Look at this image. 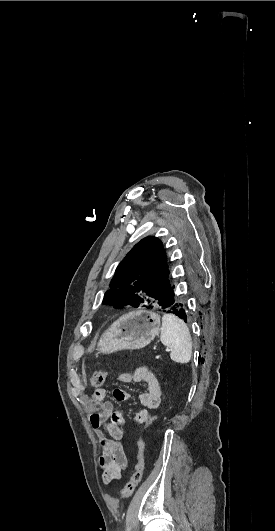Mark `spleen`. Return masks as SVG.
<instances>
[{
    "label": "spleen",
    "mask_w": 275,
    "mask_h": 531,
    "mask_svg": "<svg viewBox=\"0 0 275 531\" xmlns=\"http://www.w3.org/2000/svg\"><path fill=\"white\" fill-rule=\"evenodd\" d=\"M160 341L171 350L170 359L175 363H189L192 355V339L189 329L179 317L166 313L162 317Z\"/></svg>",
    "instance_id": "obj_1"
}]
</instances>
